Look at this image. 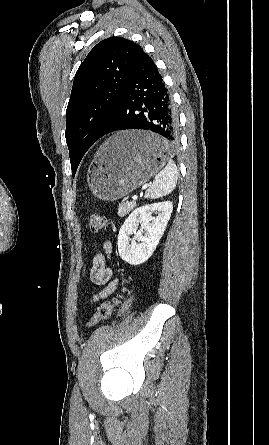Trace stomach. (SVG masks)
<instances>
[{
    "label": "stomach",
    "mask_w": 269,
    "mask_h": 445,
    "mask_svg": "<svg viewBox=\"0 0 269 445\" xmlns=\"http://www.w3.org/2000/svg\"><path fill=\"white\" fill-rule=\"evenodd\" d=\"M166 140L146 131H122L97 151L89 169V187L105 201L126 196L149 181L167 162Z\"/></svg>",
    "instance_id": "1"
}]
</instances>
